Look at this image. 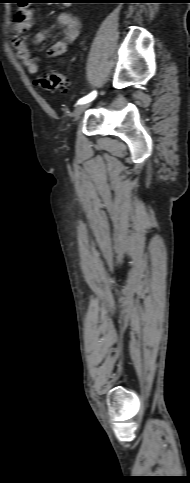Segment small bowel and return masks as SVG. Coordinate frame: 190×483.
<instances>
[{"instance_id": "small-bowel-1", "label": "small bowel", "mask_w": 190, "mask_h": 483, "mask_svg": "<svg viewBox=\"0 0 190 483\" xmlns=\"http://www.w3.org/2000/svg\"><path fill=\"white\" fill-rule=\"evenodd\" d=\"M32 10L26 6H20L14 16L12 44L15 48L16 58L27 69L28 73L35 75L38 72V58L32 57L26 42L24 33L32 26ZM58 24L63 27V38L55 42L45 53L47 58H55L63 55L68 46L74 42L81 29L79 18L71 11H62L58 16ZM48 38V32L38 31L33 37L34 44H42Z\"/></svg>"}]
</instances>
